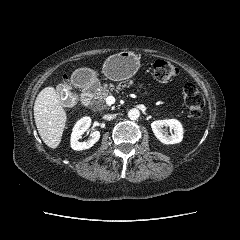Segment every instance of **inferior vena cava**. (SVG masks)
Masks as SVG:
<instances>
[{"label": "inferior vena cava", "mask_w": 240, "mask_h": 240, "mask_svg": "<svg viewBox=\"0 0 240 240\" xmlns=\"http://www.w3.org/2000/svg\"><path fill=\"white\" fill-rule=\"evenodd\" d=\"M115 114H105L104 116H103V119H105V120H112V119H114L115 118Z\"/></svg>", "instance_id": "inferior-vena-cava-1"}]
</instances>
